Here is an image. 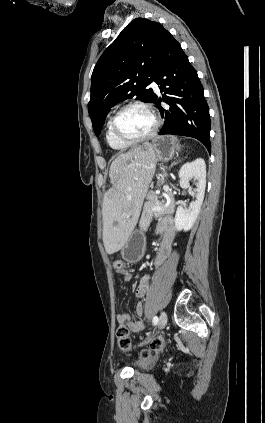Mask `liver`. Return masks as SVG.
Returning <instances> with one entry per match:
<instances>
[{
  "label": "liver",
  "mask_w": 265,
  "mask_h": 423,
  "mask_svg": "<svg viewBox=\"0 0 265 423\" xmlns=\"http://www.w3.org/2000/svg\"><path fill=\"white\" fill-rule=\"evenodd\" d=\"M156 162V152L148 142L112 162L109 177L113 187L103 200V243L108 254L122 249L134 230Z\"/></svg>",
  "instance_id": "liver-1"
}]
</instances>
